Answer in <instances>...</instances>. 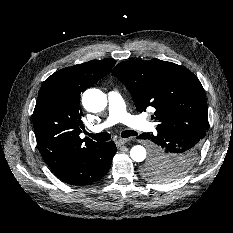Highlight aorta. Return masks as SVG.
<instances>
[{"instance_id":"1","label":"aorta","mask_w":233,"mask_h":233,"mask_svg":"<svg viewBox=\"0 0 233 233\" xmlns=\"http://www.w3.org/2000/svg\"><path fill=\"white\" fill-rule=\"evenodd\" d=\"M82 104L89 112H101L107 106V97L98 89H88L82 96ZM130 156L133 161L142 162L146 158V149L141 145L133 146L130 150Z\"/></svg>"}]
</instances>
